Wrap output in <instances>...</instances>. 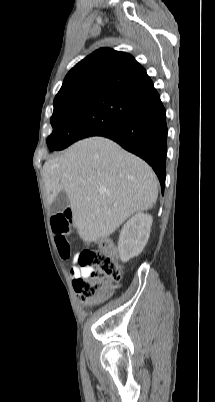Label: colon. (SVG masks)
<instances>
[{
    "instance_id": "1",
    "label": "colon",
    "mask_w": 215,
    "mask_h": 402,
    "mask_svg": "<svg viewBox=\"0 0 215 402\" xmlns=\"http://www.w3.org/2000/svg\"><path fill=\"white\" fill-rule=\"evenodd\" d=\"M71 213L66 211L57 214L51 219L52 230L55 234V243L62 258L71 255V246L67 239ZM78 267H90L92 271L88 277L73 281L74 288L84 302H99L110 295V286L121 278L120 266L114 258V247L111 241L99 242L98 250H84L76 258Z\"/></svg>"
}]
</instances>
